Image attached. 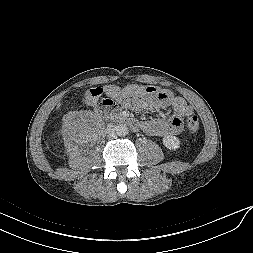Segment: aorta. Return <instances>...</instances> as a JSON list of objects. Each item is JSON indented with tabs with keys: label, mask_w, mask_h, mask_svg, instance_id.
Segmentation results:
<instances>
[{
	"label": "aorta",
	"mask_w": 253,
	"mask_h": 253,
	"mask_svg": "<svg viewBox=\"0 0 253 253\" xmlns=\"http://www.w3.org/2000/svg\"><path fill=\"white\" fill-rule=\"evenodd\" d=\"M114 130L118 136H126L128 134V128L124 124L117 125Z\"/></svg>",
	"instance_id": "aorta-1"
}]
</instances>
